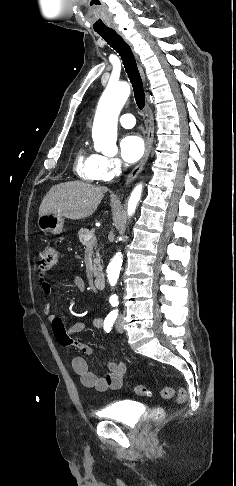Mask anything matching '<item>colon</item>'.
Here are the masks:
<instances>
[{
    "label": "colon",
    "mask_w": 236,
    "mask_h": 486,
    "mask_svg": "<svg viewBox=\"0 0 236 486\" xmlns=\"http://www.w3.org/2000/svg\"><path fill=\"white\" fill-rule=\"evenodd\" d=\"M58 260V250L53 246L47 245L40 251L38 265L42 270H49L57 264ZM134 390L138 396H149L150 394V391L143 385L136 386ZM160 395L163 399H169L176 396L178 403H183L187 398L186 391L182 387L174 388L172 386H167L161 390ZM164 416V410L160 407H156L150 412L147 423L148 425L159 423L164 419Z\"/></svg>",
    "instance_id": "obj_1"
}]
</instances>
